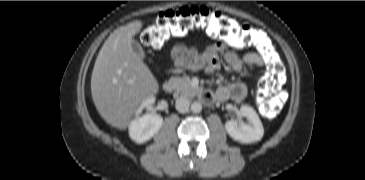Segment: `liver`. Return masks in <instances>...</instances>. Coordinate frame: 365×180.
Here are the masks:
<instances>
[{"instance_id":"6515ba94","label":"liver","mask_w":365,"mask_h":180,"mask_svg":"<svg viewBox=\"0 0 365 180\" xmlns=\"http://www.w3.org/2000/svg\"><path fill=\"white\" fill-rule=\"evenodd\" d=\"M142 25L136 20L114 30L100 49L92 72L95 107L108 124L120 130L130 125L142 102L159 89L156 78L131 47Z\"/></svg>"}]
</instances>
